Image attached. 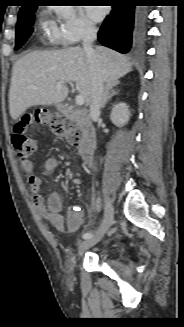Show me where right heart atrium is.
I'll return each mask as SVG.
<instances>
[{
  "instance_id": "obj_1",
  "label": "right heart atrium",
  "mask_w": 184,
  "mask_h": 327,
  "mask_svg": "<svg viewBox=\"0 0 184 327\" xmlns=\"http://www.w3.org/2000/svg\"><path fill=\"white\" fill-rule=\"evenodd\" d=\"M95 32L94 24L78 7H69L60 21L52 25L50 33L54 42L70 46L92 37Z\"/></svg>"
}]
</instances>
